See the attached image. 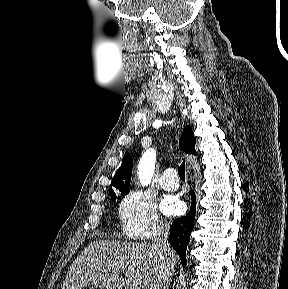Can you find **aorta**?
Segmentation results:
<instances>
[{
  "instance_id": "762f6f07",
  "label": "aorta",
  "mask_w": 288,
  "mask_h": 289,
  "mask_svg": "<svg viewBox=\"0 0 288 289\" xmlns=\"http://www.w3.org/2000/svg\"><path fill=\"white\" fill-rule=\"evenodd\" d=\"M156 153L153 149L147 150L138 165V177L142 185H148L155 168Z\"/></svg>"
}]
</instances>
